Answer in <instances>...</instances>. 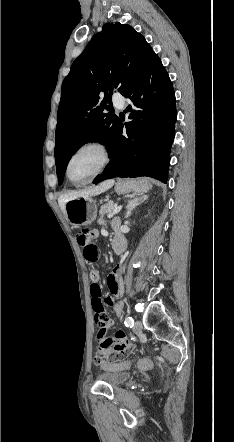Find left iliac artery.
<instances>
[{
    "mask_svg": "<svg viewBox=\"0 0 234 442\" xmlns=\"http://www.w3.org/2000/svg\"><path fill=\"white\" fill-rule=\"evenodd\" d=\"M124 323H125V325H126L127 327H133V325H134V320H133L132 317L129 316V317H127V318L125 319Z\"/></svg>",
    "mask_w": 234,
    "mask_h": 442,
    "instance_id": "left-iliac-artery-1",
    "label": "left iliac artery"
}]
</instances>
